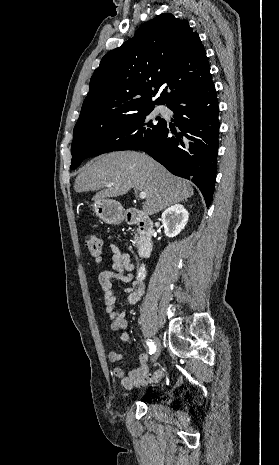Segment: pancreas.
<instances>
[{"mask_svg": "<svg viewBox=\"0 0 279 465\" xmlns=\"http://www.w3.org/2000/svg\"><path fill=\"white\" fill-rule=\"evenodd\" d=\"M135 236H136V238H135V243H134V245L136 244V241L138 240V237H137V235H136V234H135Z\"/></svg>", "mask_w": 279, "mask_h": 465, "instance_id": "pancreas-1", "label": "pancreas"}]
</instances>
